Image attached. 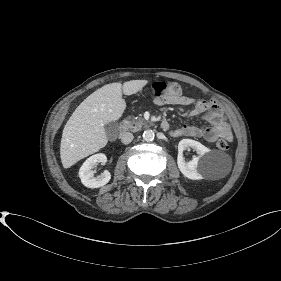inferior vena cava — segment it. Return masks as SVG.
<instances>
[{
    "label": "inferior vena cava",
    "instance_id": "602c4592",
    "mask_svg": "<svg viewBox=\"0 0 281 281\" xmlns=\"http://www.w3.org/2000/svg\"><path fill=\"white\" fill-rule=\"evenodd\" d=\"M120 138L123 144H129L133 140V134L130 132H126L123 133Z\"/></svg>",
    "mask_w": 281,
    "mask_h": 281
}]
</instances>
